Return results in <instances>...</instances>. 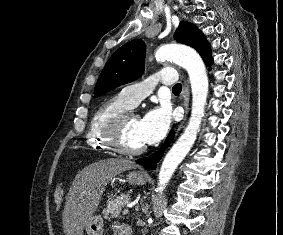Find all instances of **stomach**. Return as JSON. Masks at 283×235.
<instances>
[{"label": "stomach", "mask_w": 283, "mask_h": 235, "mask_svg": "<svg viewBox=\"0 0 283 235\" xmlns=\"http://www.w3.org/2000/svg\"><path fill=\"white\" fill-rule=\"evenodd\" d=\"M127 180L131 184L144 185L147 182V177L139 171H131L127 175ZM103 219L99 215H94L90 218L85 226L86 235H103Z\"/></svg>", "instance_id": "1"}]
</instances>
